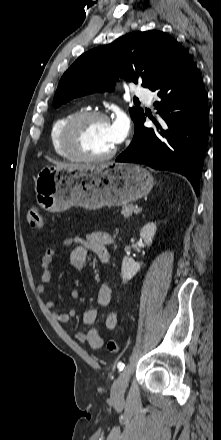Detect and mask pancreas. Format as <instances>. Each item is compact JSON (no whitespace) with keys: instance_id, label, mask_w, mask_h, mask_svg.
Here are the masks:
<instances>
[{"instance_id":"obj_1","label":"pancreas","mask_w":221,"mask_h":440,"mask_svg":"<svg viewBox=\"0 0 221 440\" xmlns=\"http://www.w3.org/2000/svg\"><path fill=\"white\" fill-rule=\"evenodd\" d=\"M134 211H135V206L133 204L123 205L122 210H121V214L125 218H130Z\"/></svg>"}]
</instances>
